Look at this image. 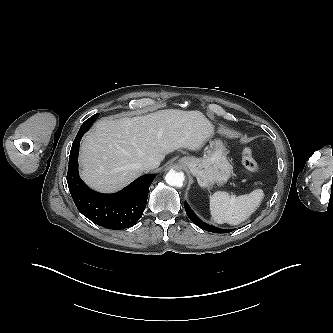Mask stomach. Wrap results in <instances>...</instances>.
<instances>
[{
	"mask_svg": "<svg viewBox=\"0 0 333 333\" xmlns=\"http://www.w3.org/2000/svg\"><path fill=\"white\" fill-rule=\"evenodd\" d=\"M178 163L197 178L201 187L226 182L232 173V166L227 158V150L220 140L213 143L212 150L204 157L185 156L179 159Z\"/></svg>",
	"mask_w": 333,
	"mask_h": 333,
	"instance_id": "stomach-1",
	"label": "stomach"
}]
</instances>
